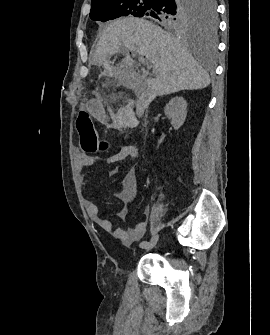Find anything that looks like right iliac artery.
I'll return each instance as SVG.
<instances>
[{
    "label": "right iliac artery",
    "instance_id": "obj_1",
    "mask_svg": "<svg viewBox=\"0 0 270 335\" xmlns=\"http://www.w3.org/2000/svg\"><path fill=\"white\" fill-rule=\"evenodd\" d=\"M148 244H149L148 241H142V242L140 243V247H141V248L147 247Z\"/></svg>",
    "mask_w": 270,
    "mask_h": 335
}]
</instances>
